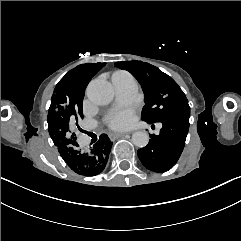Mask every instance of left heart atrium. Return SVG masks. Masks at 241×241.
Segmentation results:
<instances>
[{
	"label": "left heart atrium",
	"instance_id": "1",
	"mask_svg": "<svg viewBox=\"0 0 241 241\" xmlns=\"http://www.w3.org/2000/svg\"><path fill=\"white\" fill-rule=\"evenodd\" d=\"M134 124V118L132 113L124 112L114 118H110L108 126L117 131H123L131 128Z\"/></svg>",
	"mask_w": 241,
	"mask_h": 241
}]
</instances>
